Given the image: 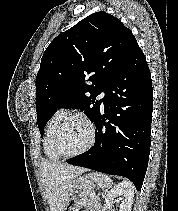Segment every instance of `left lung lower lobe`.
Returning <instances> with one entry per match:
<instances>
[{
    "mask_svg": "<svg viewBox=\"0 0 178 211\" xmlns=\"http://www.w3.org/2000/svg\"><path fill=\"white\" fill-rule=\"evenodd\" d=\"M105 91L107 100L94 121L95 146L67 163L125 176L140 190L149 160L153 88L138 45Z\"/></svg>",
    "mask_w": 178,
    "mask_h": 211,
    "instance_id": "obj_1",
    "label": "left lung lower lobe"
}]
</instances>
